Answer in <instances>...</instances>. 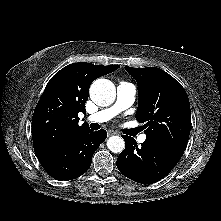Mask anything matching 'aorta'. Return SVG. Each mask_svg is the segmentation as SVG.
I'll list each match as a JSON object with an SVG mask.
<instances>
[{"instance_id": "aorta-1", "label": "aorta", "mask_w": 221, "mask_h": 221, "mask_svg": "<svg viewBox=\"0 0 221 221\" xmlns=\"http://www.w3.org/2000/svg\"><path fill=\"white\" fill-rule=\"evenodd\" d=\"M90 97L99 106H109L116 98L115 86L108 79H97L90 87ZM107 147L113 153H120L125 148V142L119 136H111L107 140Z\"/></svg>"}]
</instances>
